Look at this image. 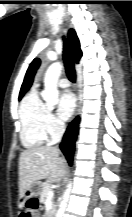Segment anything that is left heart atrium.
I'll return each mask as SVG.
<instances>
[{"mask_svg":"<svg viewBox=\"0 0 132 217\" xmlns=\"http://www.w3.org/2000/svg\"><path fill=\"white\" fill-rule=\"evenodd\" d=\"M76 99L72 92L65 91L61 94L58 103V115L62 120L69 119L74 113Z\"/></svg>","mask_w":132,"mask_h":217,"instance_id":"1","label":"left heart atrium"}]
</instances>
